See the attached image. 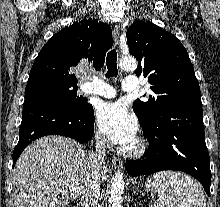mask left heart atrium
Masks as SVG:
<instances>
[{
    "label": "left heart atrium",
    "instance_id": "39dd6f15",
    "mask_svg": "<svg viewBox=\"0 0 220 207\" xmlns=\"http://www.w3.org/2000/svg\"><path fill=\"white\" fill-rule=\"evenodd\" d=\"M96 119L99 129L122 148L135 141L138 123L123 102L102 103L97 108Z\"/></svg>",
    "mask_w": 220,
    "mask_h": 207
}]
</instances>
